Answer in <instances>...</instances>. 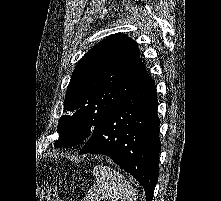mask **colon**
<instances>
[{"instance_id":"obj_1","label":"colon","mask_w":221,"mask_h":201,"mask_svg":"<svg viewBox=\"0 0 221 201\" xmlns=\"http://www.w3.org/2000/svg\"><path fill=\"white\" fill-rule=\"evenodd\" d=\"M38 196L42 201H64L59 197L58 190L47 182L41 183Z\"/></svg>"}]
</instances>
